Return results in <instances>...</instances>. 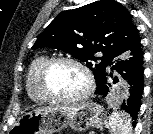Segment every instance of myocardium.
Listing matches in <instances>:
<instances>
[{
	"label": "myocardium",
	"mask_w": 153,
	"mask_h": 134,
	"mask_svg": "<svg viewBox=\"0 0 153 134\" xmlns=\"http://www.w3.org/2000/svg\"><path fill=\"white\" fill-rule=\"evenodd\" d=\"M71 64L78 67L84 74L86 79V87L84 91L75 97H61L50 91L47 85V77L52 67L57 64ZM38 87L40 92L50 101L76 104L85 101L93 92L94 78L91 70L82 61L71 57H53L45 61L38 74Z\"/></svg>",
	"instance_id": "myocardium-1"
}]
</instances>
